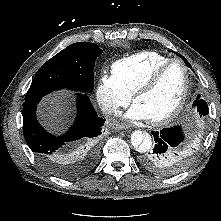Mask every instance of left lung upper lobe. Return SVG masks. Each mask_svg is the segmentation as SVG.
<instances>
[{
	"instance_id": "obj_1",
	"label": "left lung upper lobe",
	"mask_w": 221,
	"mask_h": 221,
	"mask_svg": "<svg viewBox=\"0 0 221 221\" xmlns=\"http://www.w3.org/2000/svg\"><path fill=\"white\" fill-rule=\"evenodd\" d=\"M193 108L197 110V112L200 114V117L208 114L207 103L201 99L200 95H198L196 100L193 102Z\"/></svg>"
}]
</instances>
